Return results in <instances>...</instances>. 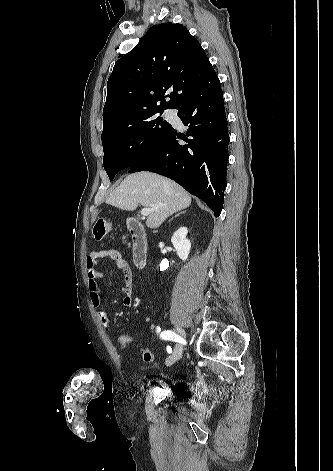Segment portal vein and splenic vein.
I'll return each mask as SVG.
<instances>
[{"mask_svg":"<svg viewBox=\"0 0 333 471\" xmlns=\"http://www.w3.org/2000/svg\"><path fill=\"white\" fill-rule=\"evenodd\" d=\"M153 210H154V209H151V208H143V209L141 210V214H142L143 216H149L150 213H151Z\"/></svg>","mask_w":333,"mask_h":471,"instance_id":"portal-vein-and-splenic-vein-1","label":"portal vein and splenic vein"}]
</instances>
